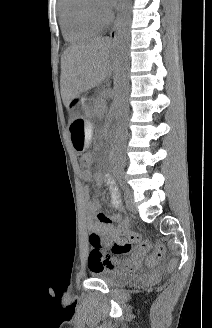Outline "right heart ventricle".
<instances>
[{
  "instance_id": "1",
  "label": "right heart ventricle",
  "mask_w": 212,
  "mask_h": 328,
  "mask_svg": "<svg viewBox=\"0 0 212 328\" xmlns=\"http://www.w3.org/2000/svg\"><path fill=\"white\" fill-rule=\"evenodd\" d=\"M58 6L62 31L68 41H83L103 30L105 24L90 15L88 0H59Z\"/></svg>"
}]
</instances>
